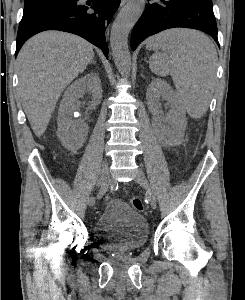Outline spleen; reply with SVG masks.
Segmentation results:
<instances>
[{"instance_id": "spleen-1", "label": "spleen", "mask_w": 245, "mask_h": 300, "mask_svg": "<svg viewBox=\"0 0 245 300\" xmlns=\"http://www.w3.org/2000/svg\"><path fill=\"white\" fill-rule=\"evenodd\" d=\"M148 50L163 49L149 59L151 71L158 76L171 75L178 96L193 118L203 116L212 97L217 52L204 34L188 29H170L150 37Z\"/></svg>"}]
</instances>
